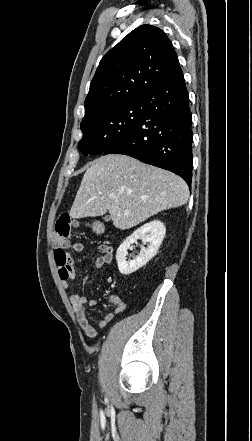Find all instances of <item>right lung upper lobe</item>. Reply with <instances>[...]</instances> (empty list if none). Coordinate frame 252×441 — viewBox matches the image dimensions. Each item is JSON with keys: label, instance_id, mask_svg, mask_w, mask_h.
I'll return each instance as SVG.
<instances>
[{"label": "right lung upper lobe", "instance_id": "obj_1", "mask_svg": "<svg viewBox=\"0 0 252 441\" xmlns=\"http://www.w3.org/2000/svg\"><path fill=\"white\" fill-rule=\"evenodd\" d=\"M178 67L176 52L164 31L139 26L101 59L85 100L83 120L140 99Z\"/></svg>", "mask_w": 252, "mask_h": 441}]
</instances>
